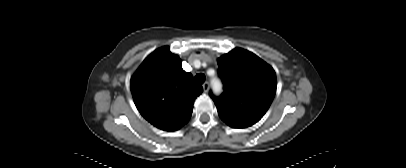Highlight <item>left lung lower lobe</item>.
<instances>
[{"label": "left lung lower lobe", "mask_w": 406, "mask_h": 168, "mask_svg": "<svg viewBox=\"0 0 406 168\" xmlns=\"http://www.w3.org/2000/svg\"><path fill=\"white\" fill-rule=\"evenodd\" d=\"M221 119L226 122L229 126L233 128H245L248 126H251L252 124L244 121H239V120H234V119H229V118H224L221 117Z\"/></svg>", "instance_id": "left-lung-lower-lobe-1"}]
</instances>
